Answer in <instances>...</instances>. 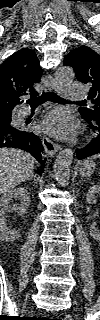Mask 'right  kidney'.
Here are the masks:
<instances>
[{"label":"right kidney","mask_w":100,"mask_h":320,"mask_svg":"<svg viewBox=\"0 0 100 320\" xmlns=\"http://www.w3.org/2000/svg\"><path fill=\"white\" fill-rule=\"evenodd\" d=\"M19 200L20 204L13 203L12 200ZM30 204V196L25 188L19 187L9 190L0 197V240L12 242L20 237L15 229L7 227V214L15 212L25 215Z\"/></svg>","instance_id":"obj_1"}]
</instances>
